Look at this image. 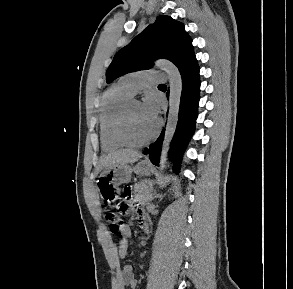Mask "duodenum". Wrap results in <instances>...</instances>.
Masks as SVG:
<instances>
[{
  "mask_svg": "<svg viewBox=\"0 0 293 289\" xmlns=\"http://www.w3.org/2000/svg\"><path fill=\"white\" fill-rule=\"evenodd\" d=\"M142 226H143L144 230H147L148 226H147L146 222H143Z\"/></svg>",
  "mask_w": 293,
  "mask_h": 289,
  "instance_id": "1",
  "label": "duodenum"
}]
</instances>
